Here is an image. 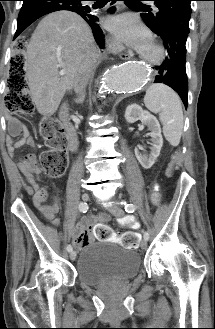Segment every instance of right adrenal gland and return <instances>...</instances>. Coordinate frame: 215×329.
<instances>
[{"label": "right adrenal gland", "instance_id": "1", "mask_svg": "<svg viewBox=\"0 0 215 329\" xmlns=\"http://www.w3.org/2000/svg\"><path fill=\"white\" fill-rule=\"evenodd\" d=\"M85 100V92L83 91L77 98H75V103L82 104Z\"/></svg>", "mask_w": 215, "mask_h": 329}]
</instances>
